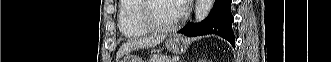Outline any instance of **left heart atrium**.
Masks as SVG:
<instances>
[{
  "mask_svg": "<svg viewBox=\"0 0 331 62\" xmlns=\"http://www.w3.org/2000/svg\"><path fill=\"white\" fill-rule=\"evenodd\" d=\"M177 13L179 15L183 14L187 8L188 0H175Z\"/></svg>",
  "mask_w": 331,
  "mask_h": 62,
  "instance_id": "obj_1",
  "label": "left heart atrium"
}]
</instances>
